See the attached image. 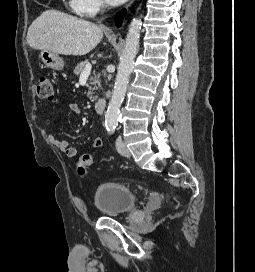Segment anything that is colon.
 <instances>
[{
	"mask_svg": "<svg viewBox=\"0 0 255 272\" xmlns=\"http://www.w3.org/2000/svg\"><path fill=\"white\" fill-rule=\"evenodd\" d=\"M37 94L40 98L52 100L53 99V86L52 80L49 77H42L37 87ZM91 163V157L84 155L78 163V170L81 174L86 172L87 167Z\"/></svg>",
	"mask_w": 255,
	"mask_h": 272,
	"instance_id": "1",
	"label": "colon"
}]
</instances>
